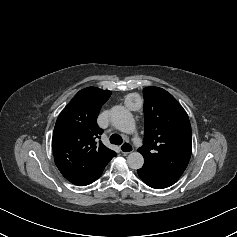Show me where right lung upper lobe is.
I'll use <instances>...</instances> for the list:
<instances>
[{"label": "right lung upper lobe", "mask_w": 237, "mask_h": 237, "mask_svg": "<svg viewBox=\"0 0 237 237\" xmlns=\"http://www.w3.org/2000/svg\"><path fill=\"white\" fill-rule=\"evenodd\" d=\"M110 96V91L87 87L63 109L52 138L56 163H62L71 172L94 174L103 170L116 155L101 142H96L102 133L96 125V118Z\"/></svg>", "instance_id": "right-lung-upper-lobe-1"}]
</instances>
